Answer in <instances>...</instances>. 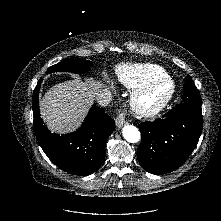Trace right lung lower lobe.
<instances>
[{
  "mask_svg": "<svg viewBox=\"0 0 221 221\" xmlns=\"http://www.w3.org/2000/svg\"><path fill=\"white\" fill-rule=\"evenodd\" d=\"M40 80L32 98L35 135L47 157L62 170L79 176L94 173L102 165L105 145L115 124L102 108L93 106L82 126L75 132L58 135L51 133L40 118Z\"/></svg>",
  "mask_w": 221,
  "mask_h": 221,
  "instance_id": "obj_1",
  "label": "right lung lower lobe"
}]
</instances>
